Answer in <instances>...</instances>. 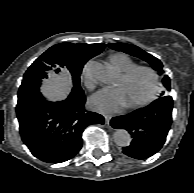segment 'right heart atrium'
Wrapping results in <instances>:
<instances>
[{
  "instance_id": "right-heart-atrium-1",
  "label": "right heart atrium",
  "mask_w": 194,
  "mask_h": 193,
  "mask_svg": "<svg viewBox=\"0 0 194 193\" xmlns=\"http://www.w3.org/2000/svg\"><path fill=\"white\" fill-rule=\"evenodd\" d=\"M88 68H89V65L86 64L82 70V79H83L84 85L88 89L93 90L96 86V82L94 78L90 75Z\"/></svg>"
}]
</instances>
